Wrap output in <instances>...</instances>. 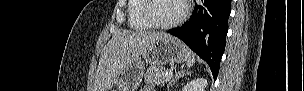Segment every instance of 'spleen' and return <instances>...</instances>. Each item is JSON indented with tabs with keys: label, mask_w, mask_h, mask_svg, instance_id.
<instances>
[{
	"label": "spleen",
	"mask_w": 304,
	"mask_h": 91,
	"mask_svg": "<svg viewBox=\"0 0 304 91\" xmlns=\"http://www.w3.org/2000/svg\"><path fill=\"white\" fill-rule=\"evenodd\" d=\"M195 62V55L192 52H189L188 59H187V66L190 68L193 66Z\"/></svg>",
	"instance_id": "3e777b00"
}]
</instances>
